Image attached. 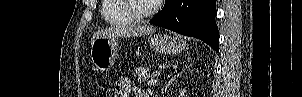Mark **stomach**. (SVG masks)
Returning a JSON list of instances; mask_svg holds the SVG:
<instances>
[{"mask_svg": "<svg viewBox=\"0 0 302 97\" xmlns=\"http://www.w3.org/2000/svg\"><path fill=\"white\" fill-rule=\"evenodd\" d=\"M152 49L161 54H180L186 48V43L169 35L154 34L148 37ZM117 55V37H97L91 48V59L100 71H108L113 66Z\"/></svg>", "mask_w": 302, "mask_h": 97, "instance_id": "obj_1", "label": "stomach"}]
</instances>
